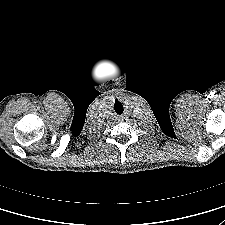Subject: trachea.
<instances>
[{
    "mask_svg": "<svg viewBox=\"0 0 225 225\" xmlns=\"http://www.w3.org/2000/svg\"><path fill=\"white\" fill-rule=\"evenodd\" d=\"M114 109L117 114H122L124 111L123 105L118 100L115 101Z\"/></svg>",
    "mask_w": 225,
    "mask_h": 225,
    "instance_id": "1",
    "label": "trachea"
}]
</instances>
